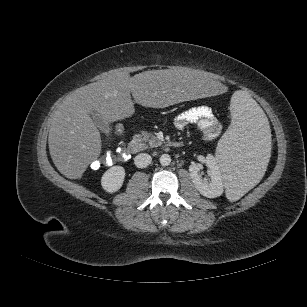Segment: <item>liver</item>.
Listing matches in <instances>:
<instances>
[{
  "instance_id": "obj_1",
  "label": "liver",
  "mask_w": 307,
  "mask_h": 307,
  "mask_svg": "<svg viewBox=\"0 0 307 307\" xmlns=\"http://www.w3.org/2000/svg\"><path fill=\"white\" fill-rule=\"evenodd\" d=\"M225 85L200 70L177 67L146 71L130 77L116 72L72 92L52 117L48 145L58 171L79 179L101 153V135L90 113L96 111L107 122L134 114L135 102L165 108L187 100L220 95Z\"/></svg>"
}]
</instances>
